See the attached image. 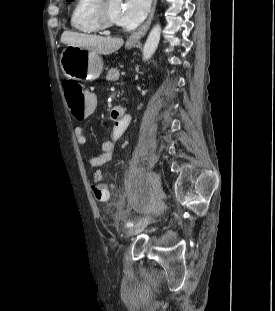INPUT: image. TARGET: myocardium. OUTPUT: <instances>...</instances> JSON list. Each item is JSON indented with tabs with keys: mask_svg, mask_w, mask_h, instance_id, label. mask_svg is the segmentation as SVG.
Instances as JSON below:
<instances>
[{
	"mask_svg": "<svg viewBox=\"0 0 275 311\" xmlns=\"http://www.w3.org/2000/svg\"><path fill=\"white\" fill-rule=\"evenodd\" d=\"M109 0H98L94 8V18L101 30H112L119 26V23L114 21L108 11Z\"/></svg>",
	"mask_w": 275,
	"mask_h": 311,
	"instance_id": "f54148a6",
	"label": "myocardium"
}]
</instances>
